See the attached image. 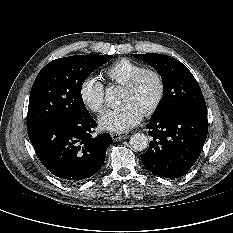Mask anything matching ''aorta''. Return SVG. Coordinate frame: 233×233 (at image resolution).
I'll use <instances>...</instances> for the list:
<instances>
[{
	"instance_id": "1",
	"label": "aorta",
	"mask_w": 233,
	"mask_h": 233,
	"mask_svg": "<svg viewBox=\"0 0 233 233\" xmlns=\"http://www.w3.org/2000/svg\"><path fill=\"white\" fill-rule=\"evenodd\" d=\"M118 90L115 87H108L105 90V100L108 106L118 103ZM130 146L135 151H143L148 147V138L143 133H135L130 137Z\"/></svg>"
}]
</instances>
